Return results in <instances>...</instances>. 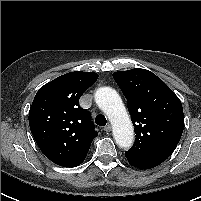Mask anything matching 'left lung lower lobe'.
Returning <instances> with one entry per match:
<instances>
[{
	"mask_svg": "<svg viewBox=\"0 0 201 201\" xmlns=\"http://www.w3.org/2000/svg\"><path fill=\"white\" fill-rule=\"evenodd\" d=\"M132 166L134 167H137V168H140V169H150V168H153L155 166L153 165H139V164H134V163H131L129 162ZM157 166V165H156Z\"/></svg>",
	"mask_w": 201,
	"mask_h": 201,
	"instance_id": "0a47b994",
	"label": "left lung lower lobe"
}]
</instances>
